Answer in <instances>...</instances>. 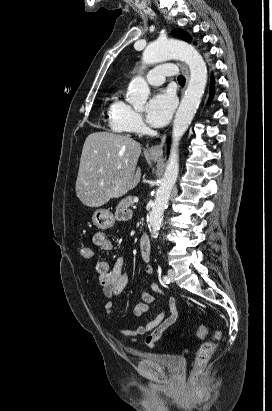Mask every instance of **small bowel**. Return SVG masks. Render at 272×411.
Returning a JSON list of instances; mask_svg holds the SVG:
<instances>
[{
	"mask_svg": "<svg viewBox=\"0 0 272 411\" xmlns=\"http://www.w3.org/2000/svg\"><path fill=\"white\" fill-rule=\"evenodd\" d=\"M128 216V213H122L120 215L122 218H127ZM93 243L103 251L111 252L114 250L113 242L103 233H96L93 236ZM95 269L98 274L99 284L103 287V294L106 298L111 299L118 296L127 287L129 277L124 270L123 257H119L112 267L106 260H97ZM153 270L151 263L145 264L144 271L146 275H151ZM149 288L153 293L165 299L166 309L160 311L154 319L146 324L130 328L117 324H113L112 326L117 333L126 337L132 344L137 343L138 336L149 333L145 338V344L150 348H154L163 333L176 322L179 317V312L176 306V300L172 295H167L155 282H150ZM140 296L142 303L136 305L134 309V313L137 316L146 314L150 310V306L156 301V296L149 293L145 287L142 288ZM113 309V302L107 301L104 310L109 319L112 317ZM167 312L169 313L168 315Z\"/></svg>",
	"mask_w": 272,
	"mask_h": 411,
	"instance_id": "small-bowel-1",
	"label": "small bowel"
}]
</instances>
